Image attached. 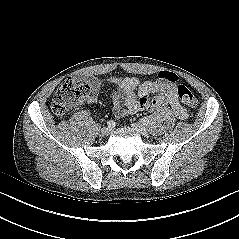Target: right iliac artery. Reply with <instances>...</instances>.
Instances as JSON below:
<instances>
[{"mask_svg":"<svg viewBox=\"0 0 239 239\" xmlns=\"http://www.w3.org/2000/svg\"><path fill=\"white\" fill-rule=\"evenodd\" d=\"M108 127L113 128L115 127V122L113 120L108 121L107 123Z\"/></svg>","mask_w":239,"mask_h":239,"instance_id":"right-iliac-artery-1","label":"right iliac artery"}]
</instances>
